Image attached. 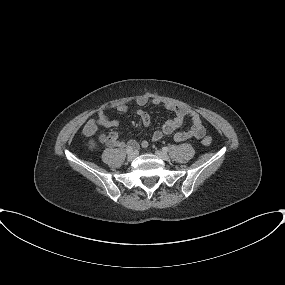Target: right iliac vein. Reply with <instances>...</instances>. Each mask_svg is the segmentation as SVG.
Masks as SVG:
<instances>
[{"label": "right iliac vein", "instance_id": "1", "mask_svg": "<svg viewBox=\"0 0 285 285\" xmlns=\"http://www.w3.org/2000/svg\"><path fill=\"white\" fill-rule=\"evenodd\" d=\"M138 155L137 151H133L131 153H128L127 159L128 161H133Z\"/></svg>", "mask_w": 285, "mask_h": 285}]
</instances>
